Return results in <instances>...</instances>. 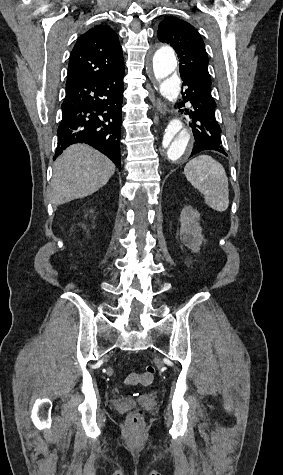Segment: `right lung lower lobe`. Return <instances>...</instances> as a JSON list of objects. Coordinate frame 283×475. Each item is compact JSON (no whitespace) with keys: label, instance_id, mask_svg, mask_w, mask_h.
Here are the masks:
<instances>
[{"label":"right lung lower lobe","instance_id":"right-lung-lower-lobe-1","mask_svg":"<svg viewBox=\"0 0 283 475\" xmlns=\"http://www.w3.org/2000/svg\"><path fill=\"white\" fill-rule=\"evenodd\" d=\"M123 76L124 72L102 80L66 84L56 156L71 144L87 143L121 167Z\"/></svg>","mask_w":283,"mask_h":475}]
</instances>
